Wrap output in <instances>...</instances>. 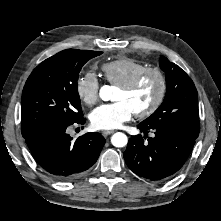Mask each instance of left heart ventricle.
Here are the masks:
<instances>
[{"label":"left heart ventricle","mask_w":221,"mask_h":221,"mask_svg":"<svg viewBox=\"0 0 221 221\" xmlns=\"http://www.w3.org/2000/svg\"><path fill=\"white\" fill-rule=\"evenodd\" d=\"M158 87L157 77L153 74H149L133 90L124 91L117 89L114 94V100L127 102L134 112L141 111L153 102Z\"/></svg>","instance_id":"1"}]
</instances>
